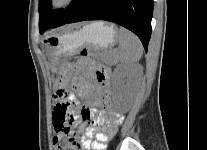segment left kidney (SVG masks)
<instances>
[{"label": "left kidney", "mask_w": 207, "mask_h": 150, "mask_svg": "<svg viewBox=\"0 0 207 150\" xmlns=\"http://www.w3.org/2000/svg\"><path fill=\"white\" fill-rule=\"evenodd\" d=\"M142 68L136 64H119L112 78V99L119 113H127L139 89Z\"/></svg>", "instance_id": "left-kidney-1"}]
</instances>
